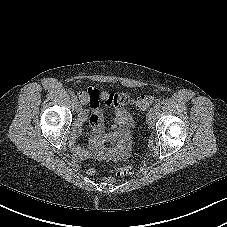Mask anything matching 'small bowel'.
Segmentation results:
<instances>
[{
    "instance_id": "obj_1",
    "label": "small bowel",
    "mask_w": 227,
    "mask_h": 227,
    "mask_svg": "<svg viewBox=\"0 0 227 227\" xmlns=\"http://www.w3.org/2000/svg\"><path fill=\"white\" fill-rule=\"evenodd\" d=\"M118 94L99 91L90 87L86 91L79 93V98L85 108L78 115L71 133L70 148L78 158H99V159H121L130 152L132 118L124 107L125 103H120ZM108 107L114 108L113 132L107 133L104 125V117L101 111L100 102ZM89 121L93 127V135L89 148H85L77 143V138L82 130V125ZM109 142L112 148H105V143Z\"/></svg>"
}]
</instances>
